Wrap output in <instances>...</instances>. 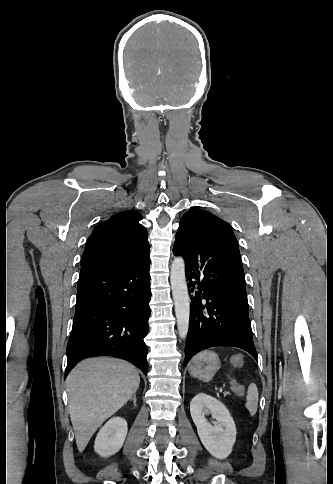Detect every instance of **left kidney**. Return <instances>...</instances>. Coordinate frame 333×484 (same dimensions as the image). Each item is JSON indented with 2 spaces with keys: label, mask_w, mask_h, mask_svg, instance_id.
Instances as JSON below:
<instances>
[{
  "label": "left kidney",
  "mask_w": 333,
  "mask_h": 484,
  "mask_svg": "<svg viewBox=\"0 0 333 484\" xmlns=\"http://www.w3.org/2000/svg\"><path fill=\"white\" fill-rule=\"evenodd\" d=\"M190 413L207 451L215 458H227L236 440V426L228 409L214 397L199 393L190 403ZM209 414L215 420L214 425L206 419Z\"/></svg>",
  "instance_id": "1"
}]
</instances>
